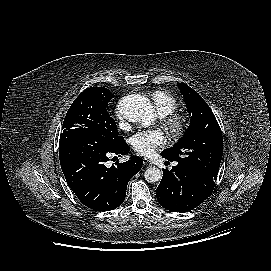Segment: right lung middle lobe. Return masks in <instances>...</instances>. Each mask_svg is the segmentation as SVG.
Here are the masks:
<instances>
[{
	"label": "right lung middle lobe",
	"mask_w": 271,
	"mask_h": 271,
	"mask_svg": "<svg viewBox=\"0 0 271 271\" xmlns=\"http://www.w3.org/2000/svg\"><path fill=\"white\" fill-rule=\"evenodd\" d=\"M114 95L104 87L84 90L72 103L64 122L59 144L81 145L97 143L104 148L117 146L123 138L109 114V102Z\"/></svg>",
	"instance_id": "1"
}]
</instances>
